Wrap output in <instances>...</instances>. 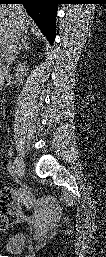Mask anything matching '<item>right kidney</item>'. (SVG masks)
I'll return each instance as SVG.
<instances>
[{
    "mask_svg": "<svg viewBox=\"0 0 106 257\" xmlns=\"http://www.w3.org/2000/svg\"><path fill=\"white\" fill-rule=\"evenodd\" d=\"M15 71H16L17 78L19 80H22V77H23V74H24V71H25V63L18 64V66L16 67Z\"/></svg>",
    "mask_w": 106,
    "mask_h": 257,
    "instance_id": "ca27d5eb",
    "label": "right kidney"
}]
</instances>
